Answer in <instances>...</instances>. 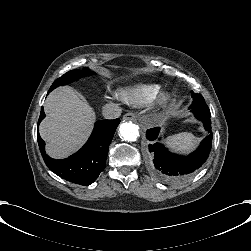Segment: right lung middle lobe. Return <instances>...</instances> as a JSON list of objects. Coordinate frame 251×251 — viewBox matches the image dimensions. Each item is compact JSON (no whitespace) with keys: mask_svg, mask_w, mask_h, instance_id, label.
<instances>
[{"mask_svg":"<svg viewBox=\"0 0 251 251\" xmlns=\"http://www.w3.org/2000/svg\"><path fill=\"white\" fill-rule=\"evenodd\" d=\"M90 73H93V72H91L89 70V68H83L82 70L75 69V70L69 71L53 82L48 93L59 86L69 84V83L77 80L78 78L85 76V75H88Z\"/></svg>","mask_w":251,"mask_h":251,"instance_id":"1","label":"right lung middle lobe"}]
</instances>
